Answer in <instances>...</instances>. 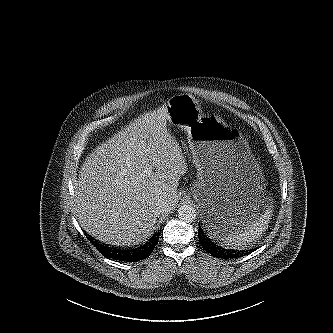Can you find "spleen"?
<instances>
[{"label": "spleen", "mask_w": 333, "mask_h": 333, "mask_svg": "<svg viewBox=\"0 0 333 333\" xmlns=\"http://www.w3.org/2000/svg\"><path fill=\"white\" fill-rule=\"evenodd\" d=\"M272 214V208L268 207L264 213L249 222L247 225L230 231L223 236L221 244L231 248L247 247L267 229Z\"/></svg>", "instance_id": "spleen-1"}]
</instances>
